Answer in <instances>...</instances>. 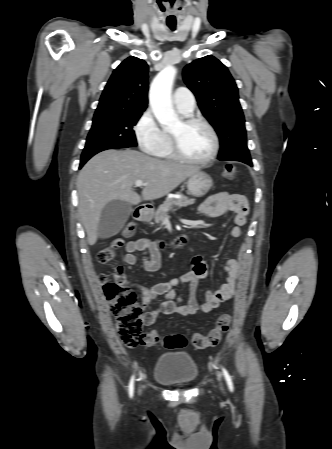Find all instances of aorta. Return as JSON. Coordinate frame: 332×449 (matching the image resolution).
I'll list each match as a JSON object with an SVG mask.
<instances>
[{
	"mask_svg": "<svg viewBox=\"0 0 332 449\" xmlns=\"http://www.w3.org/2000/svg\"><path fill=\"white\" fill-rule=\"evenodd\" d=\"M176 76V68L167 66L154 78L149 90V103L158 122L167 128L179 124L171 101V90Z\"/></svg>",
	"mask_w": 332,
	"mask_h": 449,
	"instance_id": "aorta-1",
	"label": "aorta"
}]
</instances>
